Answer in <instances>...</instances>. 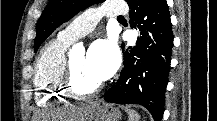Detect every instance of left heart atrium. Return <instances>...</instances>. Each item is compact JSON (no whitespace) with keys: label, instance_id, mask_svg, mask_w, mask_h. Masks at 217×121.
<instances>
[{"label":"left heart atrium","instance_id":"1","mask_svg":"<svg viewBox=\"0 0 217 121\" xmlns=\"http://www.w3.org/2000/svg\"><path fill=\"white\" fill-rule=\"evenodd\" d=\"M86 60L95 76L100 81L106 80L119 65L118 48L111 40L99 39L90 46Z\"/></svg>","mask_w":217,"mask_h":121}]
</instances>
